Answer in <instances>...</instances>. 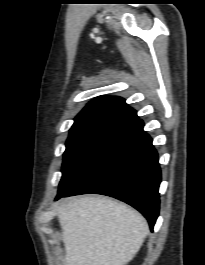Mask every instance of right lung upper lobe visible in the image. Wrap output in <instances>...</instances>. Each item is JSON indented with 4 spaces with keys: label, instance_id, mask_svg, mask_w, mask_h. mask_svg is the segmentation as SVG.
<instances>
[{
    "label": "right lung upper lobe",
    "instance_id": "1",
    "mask_svg": "<svg viewBox=\"0 0 205 265\" xmlns=\"http://www.w3.org/2000/svg\"><path fill=\"white\" fill-rule=\"evenodd\" d=\"M136 111L121 97L100 96L76 116L70 133L92 126L119 125L128 127L138 120Z\"/></svg>",
    "mask_w": 205,
    "mask_h": 265
}]
</instances>
